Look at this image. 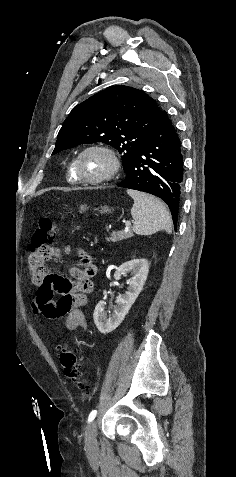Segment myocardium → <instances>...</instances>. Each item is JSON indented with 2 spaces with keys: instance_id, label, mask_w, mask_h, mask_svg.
Masks as SVG:
<instances>
[{
  "instance_id": "1",
  "label": "myocardium",
  "mask_w": 236,
  "mask_h": 477,
  "mask_svg": "<svg viewBox=\"0 0 236 477\" xmlns=\"http://www.w3.org/2000/svg\"><path fill=\"white\" fill-rule=\"evenodd\" d=\"M92 151L103 154L109 160V163H110L109 170L104 175L96 177V178H88L86 176H83L80 171L81 159L83 158L85 154ZM119 169H120V162L116 153L109 147L101 145V144H93V145L87 146L77 155L74 161V172L78 178L79 183H86V184H92V185L103 184L105 182L112 180L117 175Z\"/></svg>"
}]
</instances>
